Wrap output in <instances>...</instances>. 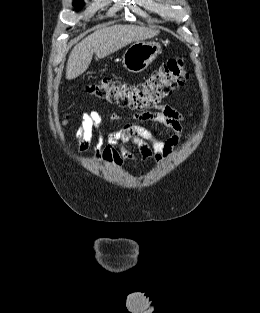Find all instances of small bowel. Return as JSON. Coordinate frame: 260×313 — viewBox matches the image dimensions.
I'll list each match as a JSON object with an SVG mask.
<instances>
[{"instance_id":"small-bowel-1","label":"small bowel","mask_w":260,"mask_h":313,"mask_svg":"<svg viewBox=\"0 0 260 313\" xmlns=\"http://www.w3.org/2000/svg\"><path fill=\"white\" fill-rule=\"evenodd\" d=\"M114 120L119 115L110 116ZM139 122L159 123L172 131L167 140H161L151 130ZM184 127V116L169 105H159L155 110L136 114L131 121L121 128L105 134L104 118L98 111L84 112L81 123L75 132L78 152L84 153L90 146L93 135H96V159L107 167L121 168L124 161L134 163L127 145L136 146L145 164L165 162L180 146Z\"/></svg>"}]
</instances>
